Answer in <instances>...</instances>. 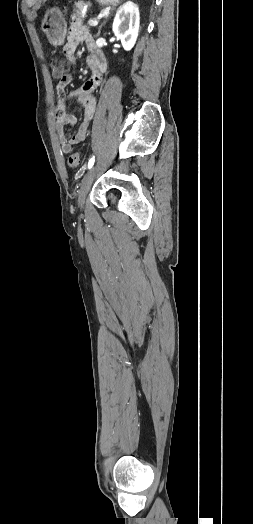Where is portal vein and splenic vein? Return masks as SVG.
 I'll return each mask as SVG.
<instances>
[{"label": "portal vein and splenic vein", "instance_id": "18ae733b", "mask_svg": "<svg viewBox=\"0 0 253 524\" xmlns=\"http://www.w3.org/2000/svg\"><path fill=\"white\" fill-rule=\"evenodd\" d=\"M88 24L91 25V26H97L98 25V21L96 19H90L88 21Z\"/></svg>", "mask_w": 253, "mask_h": 524}]
</instances>
